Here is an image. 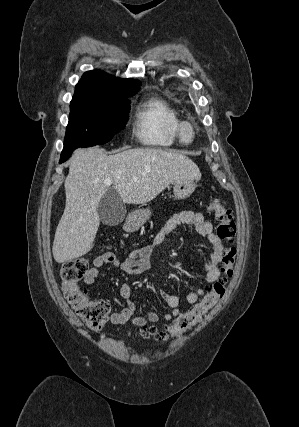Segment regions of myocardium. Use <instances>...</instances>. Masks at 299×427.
Returning a JSON list of instances; mask_svg holds the SVG:
<instances>
[{
  "label": "myocardium",
  "instance_id": "1",
  "mask_svg": "<svg viewBox=\"0 0 299 427\" xmlns=\"http://www.w3.org/2000/svg\"><path fill=\"white\" fill-rule=\"evenodd\" d=\"M177 139L183 144H190L196 137V127L189 120H179L175 127Z\"/></svg>",
  "mask_w": 299,
  "mask_h": 427
}]
</instances>
